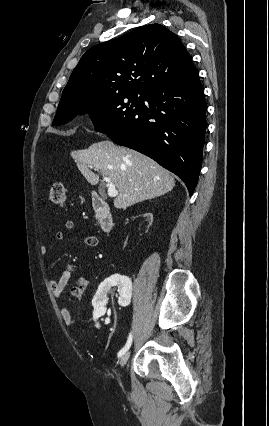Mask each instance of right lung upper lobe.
<instances>
[{
  "label": "right lung upper lobe",
  "mask_w": 269,
  "mask_h": 426,
  "mask_svg": "<svg viewBox=\"0 0 269 426\" xmlns=\"http://www.w3.org/2000/svg\"><path fill=\"white\" fill-rule=\"evenodd\" d=\"M193 67L176 34L160 24L145 25L86 51L62 98L146 93Z\"/></svg>",
  "instance_id": "1"
}]
</instances>
